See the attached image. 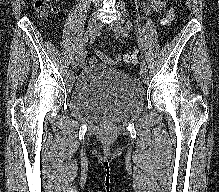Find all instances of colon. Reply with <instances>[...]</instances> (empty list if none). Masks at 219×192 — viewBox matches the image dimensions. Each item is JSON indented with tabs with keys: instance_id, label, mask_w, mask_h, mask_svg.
<instances>
[{
	"instance_id": "obj_1",
	"label": "colon",
	"mask_w": 219,
	"mask_h": 192,
	"mask_svg": "<svg viewBox=\"0 0 219 192\" xmlns=\"http://www.w3.org/2000/svg\"><path fill=\"white\" fill-rule=\"evenodd\" d=\"M34 8L40 17L51 16L56 8L52 4L51 0H34ZM175 19L174 10L171 8L168 10L165 16V24L170 25ZM105 62L112 63L113 61L106 56L101 57ZM122 61L125 64H135L137 62V53L135 51H128L122 55Z\"/></svg>"
}]
</instances>
